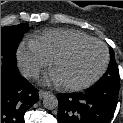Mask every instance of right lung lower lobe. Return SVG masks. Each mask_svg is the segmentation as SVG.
<instances>
[{"instance_id":"1","label":"right lung lower lobe","mask_w":123,"mask_h":123,"mask_svg":"<svg viewBox=\"0 0 123 123\" xmlns=\"http://www.w3.org/2000/svg\"><path fill=\"white\" fill-rule=\"evenodd\" d=\"M39 99L38 90L20 75L16 63L1 67V123H24L25 112Z\"/></svg>"}]
</instances>
